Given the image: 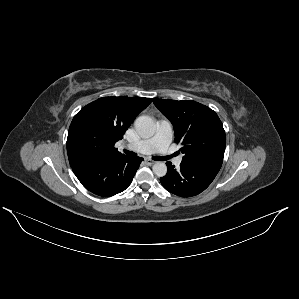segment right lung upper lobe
Listing matches in <instances>:
<instances>
[{"instance_id":"obj_1","label":"right lung upper lobe","mask_w":299,"mask_h":299,"mask_svg":"<svg viewBox=\"0 0 299 299\" xmlns=\"http://www.w3.org/2000/svg\"><path fill=\"white\" fill-rule=\"evenodd\" d=\"M151 101L142 97H102L83 107L74 116L68 131L70 166L124 156L114 145Z\"/></svg>"}]
</instances>
